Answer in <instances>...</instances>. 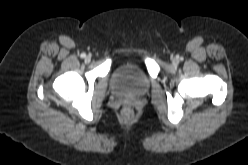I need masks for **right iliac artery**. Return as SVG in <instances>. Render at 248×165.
<instances>
[{
	"instance_id": "obj_1",
	"label": "right iliac artery",
	"mask_w": 248,
	"mask_h": 165,
	"mask_svg": "<svg viewBox=\"0 0 248 165\" xmlns=\"http://www.w3.org/2000/svg\"><path fill=\"white\" fill-rule=\"evenodd\" d=\"M85 56H86L85 53H82V54L80 55L81 58H85Z\"/></svg>"
}]
</instances>
